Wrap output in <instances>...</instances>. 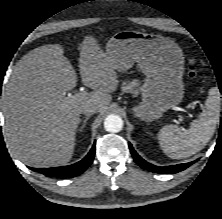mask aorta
<instances>
[{"label": "aorta", "mask_w": 222, "mask_h": 219, "mask_svg": "<svg viewBox=\"0 0 222 219\" xmlns=\"http://www.w3.org/2000/svg\"><path fill=\"white\" fill-rule=\"evenodd\" d=\"M123 127V120L119 115H108L104 120V128L108 132L117 133Z\"/></svg>", "instance_id": "1"}]
</instances>
